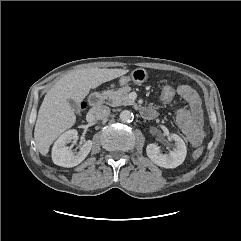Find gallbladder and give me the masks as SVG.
<instances>
[{
  "label": "gallbladder",
  "mask_w": 241,
  "mask_h": 241,
  "mask_svg": "<svg viewBox=\"0 0 241 241\" xmlns=\"http://www.w3.org/2000/svg\"><path fill=\"white\" fill-rule=\"evenodd\" d=\"M68 103L70 105V107L73 109L74 112L79 113L80 112V108L79 105L76 101L69 99Z\"/></svg>",
  "instance_id": "bac80fb5"
}]
</instances>
